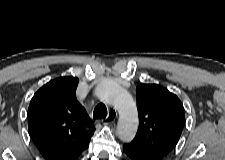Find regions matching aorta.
Segmentation results:
<instances>
[{
  "instance_id": "1",
  "label": "aorta",
  "mask_w": 225,
  "mask_h": 160,
  "mask_svg": "<svg viewBox=\"0 0 225 160\" xmlns=\"http://www.w3.org/2000/svg\"><path fill=\"white\" fill-rule=\"evenodd\" d=\"M94 95L101 101L113 105L118 113L117 135L123 142L131 141L138 127L137 108L131 95L113 81H103L95 89Z\"/></svg>"
}]
</instances>
